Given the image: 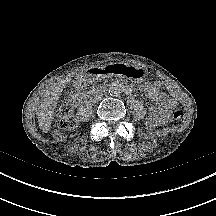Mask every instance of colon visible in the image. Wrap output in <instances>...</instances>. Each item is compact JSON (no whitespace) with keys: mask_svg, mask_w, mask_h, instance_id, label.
Listing matches in <instances>:
<instances>
[{"mask_svg":"<svg viewBox=\"0 0 216 216\" xmlns=\"http://www.w3.org/2000/svg\"><path fill=\"white\" fill-rule=\"evenodd\" d=\"M182 117L180 110H174L171 114L173 121H178ZM57 125L61 130L69 131L77 127V120L73 114V107L69 101L62 102L57 109Z\"/></svg>","mask_w":216,"mask_h":216,"instance_id":"obj_1","label":"colon"}]
</instances>
